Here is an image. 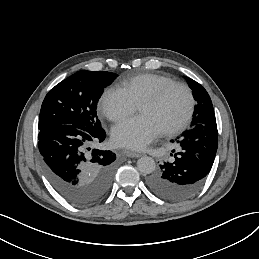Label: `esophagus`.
<instances>
[{
    "label": "esophagus",
    "mask_w": 259,
    "mask_h": 259,
    "mask_svg": "<svg viewBox=\"0 0 259 259\" xmlns=\"http://www.w3.org/2000/svg\"><path fill=\"white\" fill-rule=\"evenodd\" d=\"M126 156L131 158H139L141 155L136 152L126 151Z\"/></svg>",
    "instance_id": "obj_1"
}]
</instances>
